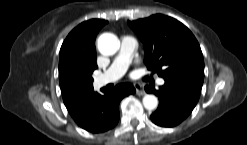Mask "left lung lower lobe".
<instances>
[{"label": "left lung lower lobe", "mask_w": 247, "mask_h": 145, "mask_svg": "<svg viewBox=\"0 0 247 145\" xmlns=\"http://www.w3.org/2000/svg\"><path fill=\"white\" fill-rule=\"evenodd\" d=\"M165 84L156 90L146 86L147 93L159 98V107L151 115V120L162 127H173L181 123L196 106L201 86L182 79H164Z\"/></svg>", "instance_id": "obj_1"}]
</instances>
